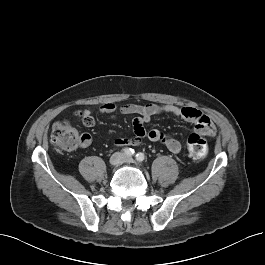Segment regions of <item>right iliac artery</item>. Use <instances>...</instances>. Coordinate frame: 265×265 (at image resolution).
Masks as SVG:
<instances>
[{
	"label": "right iliac artery",
	"mask_w": 265,
	"mask_h": 265,
	"mask_svg": "<svg viewBox=\"0 0 265 265\" xmlns=\"http://www.w3.org/2000/svg\"><path fill=\"white\" fill-rule=\"evenodd\" d=\"M123 152L127 156H133L135 154V151L132 148H125L123 149Z\"/></svg>",
	"instance_id": "obj_1"
}]
</instances>
